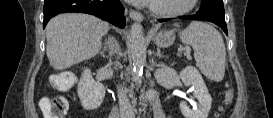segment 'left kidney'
Returning a JSON list of instances; mask_svg holds the SVG:
<instances>
[{"instance_id":"1","label":"left kidney","mask_w":273,"mask_h":118,"mask_svg":"<svg viewBox=\"0 0 273 118\" xmlns=\"http://www.w3.org/2000/svg\"><path fill=\"white\" fill-rule=\"evenodd\" d=\"M182 82L194 88V97L198 100V108L190 109L186 102L180 103L181 113L185 118H207L211 109L212 98L201 74L193 66H188L180 72Z\"/></svg>"}]
</instances>
